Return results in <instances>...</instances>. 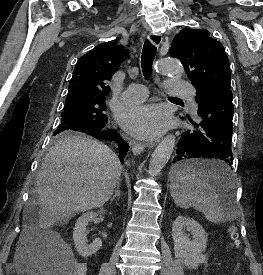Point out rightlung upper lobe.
<instances>
[{"label":"right lung upper lobe","mask_w":263,"mask_h":275,"mask_svg":"<svg viewBox=\"0 0 263 275\" xmlns=\"http://www.w3.org/2000/svg\"><path fill=\"white\" fill-rule=\"evenodd\" d=\"M128 58V50L114 42H105L80 57L68 87V96H106L111 80L121 63Z\"/></svg>","instance_id":"cb5924a9"}]
</instances>
